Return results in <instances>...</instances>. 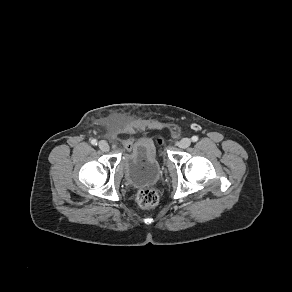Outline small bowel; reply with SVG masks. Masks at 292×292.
Segmentation results:
<instances>
[{"mask_svg": "<svg viewBox=\"0 0 292 292\" xmlns=\"http://www.w3.org/2000/svg\"><path fill=\"white\" fill-rule=\"evenodd\" d=\"M137 144H142L146 148V152L148 155L154 153V146H153V141L149 138H141L139 139L136 143H133V141H128L127 142V148L129 152H132L134 150V147Z\"/></svg>", "mask_w": 292, "mask_h": 292, "instance_id": "c3829d8e", "label": "small bowel"}]
</instances>
